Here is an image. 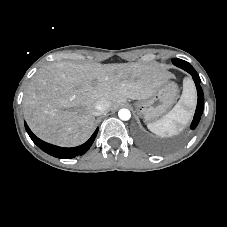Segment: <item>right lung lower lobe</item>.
I'll list each match as a JSON object with an SVG mask.
<instances>
[{"mask_svg": "<svg viewBox=\"0 0 227 227\" xmlns=\"http://www.w3.org/2000/svg\"><path fill=\"white\" fill-rule=\"evenodd\" d=\"M25 128H26V131L29 134L30 138L32 139V141L40 149H42L44 152H46L54 157L62 158V159H69V158H73L77 155H83L91 147L92 143L95 140L97 132H98V129H96V131L93 133L91 138L87 142H85L84 144H82L78 147L64 148V147H58V146H55V145L42 141L41 139L36 137L31 132V130L29 129V127L27 126L26 123H25Z\"/></svg>", "mask_w": 227, "mask_h": 227, "instance_id": "98d812e1", "label": "right lung lower lobe"}]
</instances>
